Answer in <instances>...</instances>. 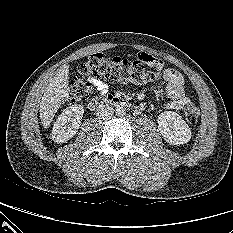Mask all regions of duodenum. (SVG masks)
<instances>
[{
	"label": "duodenum",
	"mask_w": 233,
	"mask_h": 233,
	"mask_svg": "<svg viewBox=\"0 0 233 233\" xmlns=\"http://www.w3.org/2000/svg\"><path fill=\"white\" fill-rule=\"evenodd\" d=\"M109 105L128 106L129 102L121 97L113 96V95L94 98L89 102V108L91 110H100ZM137 110H140V108L137 107Z\"/></svg>",
	"instance_id": "obj_1"
}]
</instances>
